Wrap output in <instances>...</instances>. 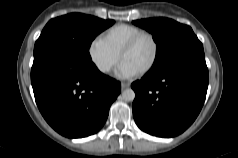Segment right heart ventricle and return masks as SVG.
<instances>
[{"label":"right heart ventricle","mask_w":238,"mask_h":158,"mask_svg":"<svg viewBox=\"0 0 238 158\" xmlns=\"http://www.w3.org/2000/svg\"><path fill=\"white\" fill-rule=\"evenodd\" d=\"M143 32L139 27L129 24H118L107 29L102 39L118 54H120L124 45L135 35Z\"/></svg>","instance_id":"e07e8e85"}]
</instances>
